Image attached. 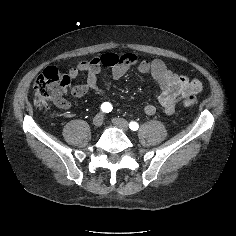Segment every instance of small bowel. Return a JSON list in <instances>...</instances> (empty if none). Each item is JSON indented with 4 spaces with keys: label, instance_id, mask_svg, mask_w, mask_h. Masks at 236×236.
Returning <instances> with one entry per match:
<instances>
[{
    "label": "small bowel",
    "instance_id": "c3829d8e",
    "mask_svg": "<svg viewBox=\"0 0 236 236\" xmlns=\"http://www.w3.org/2000/svg\"><path fill=\"white\" fill-rule=\"evenodd\" d=\"M103 65L111 68V72L106 79L107 81L119 80L131 68H135L141 74H151L159 86L154 95L167 114L174 113L176 106L184 97L197 94L202 89L200 80L174 73L162 60L148 61L140 59L133 53H127L120 56L104 54L91 60L82 61L77 66L71 68L68 76L72 79L81 73L87 75L86 83L73 86L71 94L74 97H82L88 93H94L97 96L104 97L106 92L101 87L99 79ZM55 104L62 109L70 107V102L64 98L55 101ZM144 112L147 115H153L156 112V106L147 104L144 107Z\"/></svg>",
    "mask_w": 236,
    "mask_h": 236
}]
</instances>
